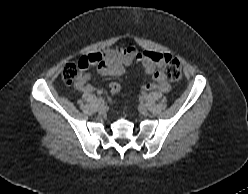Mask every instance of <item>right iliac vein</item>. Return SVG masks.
I'll return each instance as SVG.
<instances>
[{
    "mask_svg": "<svg viewBox=\"0 0 248 194\" xmlns=\"http://www.w3.org/2000/svg\"><path fill=\"white\" fill-rule=\"evenodd\" d=\"M98 106L100 110H104L105 108V102L104 101H98Z\"/></svg>",
    "mask_w": 248,
    "mask_h": 194,
    "instance_id": "obj_1",
    "label": "right iliac vein"
}]
</instances>
